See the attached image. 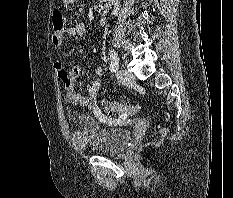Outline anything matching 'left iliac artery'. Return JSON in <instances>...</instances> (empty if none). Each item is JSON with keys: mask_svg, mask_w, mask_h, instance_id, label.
Here are the masks:
<instances>
[{"mask_svg": "<svg viewBox=\"0 0 233 198\" xmlns=\"http://www.w3.org/2000/svg\"><path fill=\"white\" fill-rule=\"evenodd\" d=\"M110 71L116 72L119 68V58L117 53L114 50L110 52Z\"/></svg>", "mask_w": 233, "mask_h": 198, "instance_id": "left-iliac-artery-1", "label": "left iliac artery"}]
</instances>
